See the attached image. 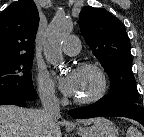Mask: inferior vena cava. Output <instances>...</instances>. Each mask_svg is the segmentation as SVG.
<instances>
[{
  "label": "inferior vena cava",
  "mask_w": 144,
  "mask_h": 137,
  "mask_svg": "<svg viewBox=\"0 0 144 137\" xmlns=\"http://www.w3.org/2000/svg\"><path fill=\"white\" fill-rule=\"evenodd\" d=\"M42 105L44 116L49 122L60 117L59 101L53 93H47L42 98Z\"/></svg>",
  "instance_id": "602c4592"
}]
</instances>
